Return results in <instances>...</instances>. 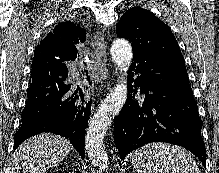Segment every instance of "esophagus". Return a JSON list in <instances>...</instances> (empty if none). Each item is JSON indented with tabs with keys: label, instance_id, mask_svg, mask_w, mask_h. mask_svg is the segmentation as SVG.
<instances>
[{
	"label": "esophagus",
	"instance_id": "1",
	"mask_svg": "<svg viewBox=\"0 0 219 173\" xmlns=\"http://www.w3.org/2000/svg\"><path fill=\"white\" fill-rule=\"evenodd\" d=\"M92 46L95 52V58L101 67V78H107V55H106V43L104 37V31L99 30L97 31L92 38Z\"/></svg>",
	"mask_w": 219,
	"mask_h": 173
}]
</instances>
